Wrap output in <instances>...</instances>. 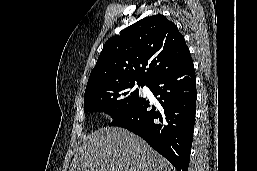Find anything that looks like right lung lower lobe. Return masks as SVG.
Here are the masks:
<instances>
[{
	"label": "right lung lower lobe",
	"mask_w": 257,
	"mask_h": 171,
	"mask_svg": "<svg viewBox=\"0 0 257 171\" xmlns=\"http://www.w3.org/2000/svg\"><path fill=\"white\" fill-rule=\"evenodd\" d=\"M146 86L157 98L158 107L151 108L150 101L140 97L112 118L110 126L139 135L177 171H188L197 98L193 61L155 77Z\"/></svg>",
	"instance_id": "right-lung-lower-lobe-1"
}]
</instances>
